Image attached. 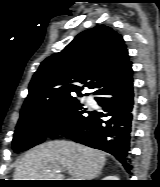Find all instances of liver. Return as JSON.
I'll return each mask as SVG.
<instances>
[{"instance_id": "obj_1", "label": "liver", "mask_w": 160, "mask_h": 187, "mask_svg": "<svg viewBox=\"0 0 160 187\" xmlns=\"http://www.w3.org/2000/svg\"><path fill=\"white\" fill-rule=\"evenodd\" d=\"M105 154L69 141H49L29 150L18 162L14 180H93L105 165Z\"/></svg>"}]
</instances>
